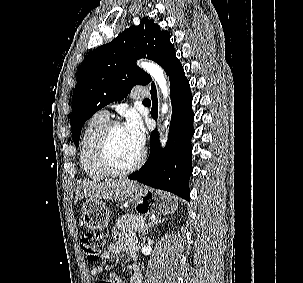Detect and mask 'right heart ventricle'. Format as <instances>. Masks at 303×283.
<instances>
[{"mask_svg": "<svg viewBox=\"0 0 303 283\" xmlns=\"http://www.w3.org/2000/svg\"><path fill=\"white\" fill-rule=\"evenodd\" d=\"M108 121L109 116L99 111L90 117L82 132L79 150L80 165L84 174L93 181H101L109 177L99 167L95 156L98 136Z\"/></svg>", "mask_w": 303, "mask_h": 283, "instance_id": "e07e8e85", "label": "right heart ventricle"}]
</instances>
